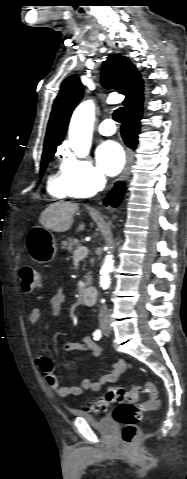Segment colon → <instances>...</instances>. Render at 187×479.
Wrapping results in <instances>:
<instances>
[{"instance_id": "colon-1", "label": "colon", "mask_w": 187, "mask_h": 479, "mask_svg": "<svg viewBox=\"0 0 187 479\" xmlns=\"http://www.w3.org/2000/svg\"><path fill=\"white\" fill-rule=\"evenodd\" d=\"M21 288L24 293H33L42 286L43 277L40 271L32 266L25 265L19 270ZM147 393L150 399L139 402V394ZM116 403L114 419L122 425L121 436L125 444H133L139 436L138 423L144 411H152L158 408V391L155 384L146 381L130 390L112 387L107 390L99 400L90 402L87 409L90 411H105L110 405Z\"/></svg>"}]
</instances>
